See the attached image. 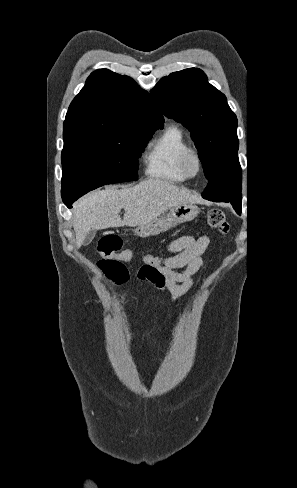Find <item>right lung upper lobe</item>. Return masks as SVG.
<instances>
[{"label":"right lung upper lobe","instance_id":"1","mask_svg":"<svg viewBox=\"0 0 297 488\" xmlns=\"http://www.w3.org/2000/svg\"><path fill=\"white\" fill-rule=\"evenodd\" d=\"M164 118L150 95L128 76L108 69L91 73L69 106L64 141L120 135L143 125L162 127Z\"/></svg>","mask_w":297,"mask_h":488}]
</instances>
